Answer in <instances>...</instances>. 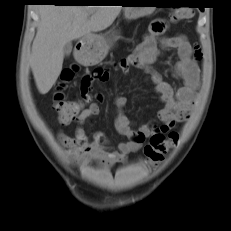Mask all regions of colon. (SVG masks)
I'll return each mask as SVG.
<instances>
[{
  "label": "colon",
  "instance_id": "1",
  "mask_svg": "<svg viewBox=\"0 0 231 231\" xmlns=\"http://www.w3.org/2000/svg\"><path fill=\"white\" fill-rule=\"evenodd\" d=\"M192 12L188 8L175 10L171 15L173 22H180L190 18ZM74 69H66L62 74L63 81H70L74 76ZM55 110L58 114L59 121L62 124H69L77 118L82 111L80 101L65 100L61 93L55 98ZM178 139L177 133H171L165 137L162 133H155L150 136L148 144L144 147V155L152 166L160 164L166 153L176 144Z\"/></svg>",
  "mask_w": 231,
  "mask_h": 231
}]
</instances>
